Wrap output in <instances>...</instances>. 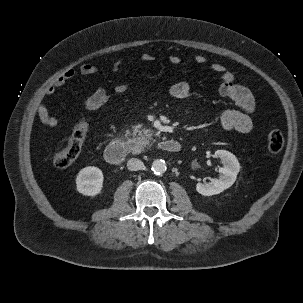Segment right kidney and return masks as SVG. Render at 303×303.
Here are the masks:
<instances>
[{"label": "right kidney", "instance_id": "obj_1", "mask_svg": "<svg viewBox=\"0 0 303 303\" xmlns=\"http://www.w3.org/2000/svg\"><path fill=\"white\" fill-rule=\"evenodd\" d=\"M103 173L94 166L83 168L76 177L77 191L85 196H95L103 188Z\"/></svg>", "mask_w": 303, "mask_h": 303}]
</instances>
